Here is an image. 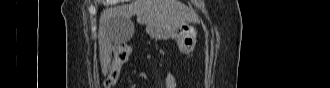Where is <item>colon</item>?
I'll use <instances>...</instances> for the list:
<instances>
[{
  "mask_svg": "<svg viewBox=\"0 0 330 88\" xmlns=\"http://www.w3.org/2000/svg\"><path fill=\"white\" fill-rule=\"evenodd\" d=\"M123 46H127L130 48V46H128V45H123ZM119 47L114 53V59H113L112 65H111V70L104 83V86L106 88H111V87L115 86L119 73H120V69L126 63V61L128 59V55H121L119 53Z\"/></svg>",
  "mask_w": 330,
  "mask_h": 88,
  "instance_id": "5ec220e1",
  "label": "colon"
}]
</instances>
